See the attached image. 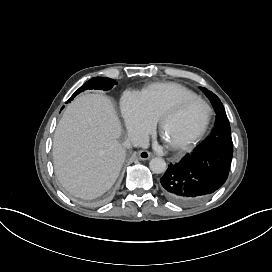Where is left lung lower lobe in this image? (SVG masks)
I'll return each instance as SVG.
<instances>
[{
    "instance_id": "left-lung-lower-lobe-1",
    "label": "left lung lower lobe",
    "mask_w": 272,
    "mask_h": 272,
    "mask_svg": "<svg viewBox=\"0 0 272 272\" xmlns=\"http://www.w3.org/2000/svg\"><path fill=\"white\" fill-rule=\"evenodd\" d=\"M232 152L197 150L171 165L160 179L161 191L172 202L191 205L203 200L226 181Z\"/></svg>"
}]
</instances>
